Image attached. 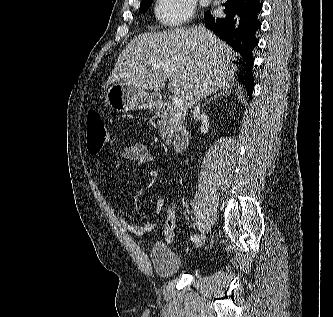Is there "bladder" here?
<instances>
[{"label": "bladder", "mask_w": 333, "mask_h": 317, "mask_svg": "<svg viewBox=\"0 0 333 317\" xmlns=\"http://www.w3.org/2000/svg\"><path fill=\"white\" fill-rule=\"evenodd\" d=\"M154 271L162 277L175 276L186 268L185 261L165 244H155L150 251Z\"/></svg>", "instance_id": "bladder-1"}]
</instances>
